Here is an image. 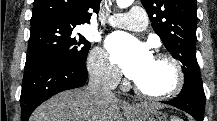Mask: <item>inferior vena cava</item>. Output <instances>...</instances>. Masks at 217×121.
Segmentation results:
<instances>
[{"mask_svg":"<svg viewBox=\"0 0 217 121\" xmlns=\"http://www.w3.org/2000/svg\"><path fill=\"white\" fill-rule=\"evenodd\" d=\"M117 85V82L108 79L105 76L94 74L89 78L87 91L90 96L96 100L114 99L115 94L113 89Z\"/></svg>","mask_w":217,"mask_h":121,"instance_id":"obj_1","label":"inferior vena cava"}]
</instances>
